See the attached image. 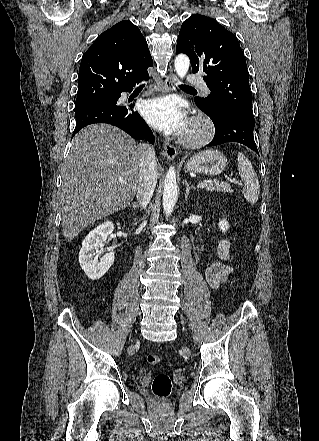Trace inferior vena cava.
Wrapping results in <instances>:
<instances>
[{"label":"inferior vena cava","instance_id":"602c4592","mask_svg":"<svg viewBox=\"0 0 319 441\" xmlns=\"http://www.w3.org/2000/svg\"><path fill=\"white\" fill-rule=\"evenodd\" d=\"M142 157L140 160V177L137 190V200L140 206L146 207L150 202L157 183V162L155 150L149 145H140Z\"/></svg>","mask_w":319,"mask_h":441}]
</instances>
